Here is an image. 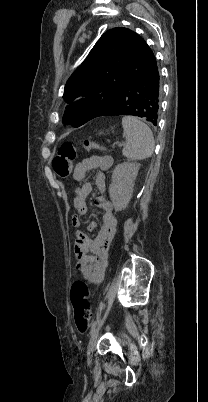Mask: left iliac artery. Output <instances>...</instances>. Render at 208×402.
Here are the masks:
<instances>
[{"label": "left iliac artery", "instance_id": "1", "mask_svg": "<svg viewBox=\"0 0 208 402\" xmlns=\"http://www.w3.org/2000/svg\"><path fill=\"white\" fill-rule=\"evenodd\" d=\"M96 324H97L96 321H93V322H92L91 329H90V334H92L93 331L95 330Z\"/></svg>", "mask_w": 208, "mask_h": 402}]
</instances>
